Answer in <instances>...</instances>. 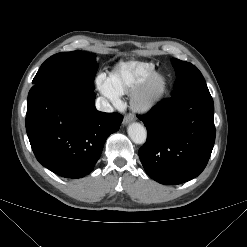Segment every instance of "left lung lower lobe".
Here are the masks:
<instances>
[{
  "mask_svg": "<svg viewBox=\"0 0 247 247\" xmlns=\"http://www.w3.org/2000/svg\"><path fill=\"white\" fill-rule=\"evenodd\" d=\"M138 118L147 128V141L139 149V157L152 179L177 185L204 170L215 142L214 104L209 91L171 97Z\"/></svg>",
  "mask_w": 247,
  "mask_h": 247,
  "instance_id": "obj_1",
  "label": "left lung lower lobe"
}]
</instances>
